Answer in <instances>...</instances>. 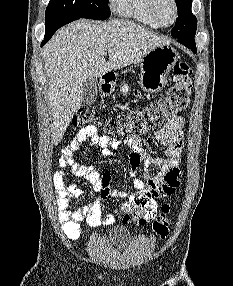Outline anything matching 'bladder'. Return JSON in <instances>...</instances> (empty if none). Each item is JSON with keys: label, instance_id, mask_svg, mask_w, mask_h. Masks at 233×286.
Returning <instances> with one entry per match:
<instances>
[{"label": "bladder", "instance_id": "1", "mask_svg": "<svg viewBox=\"0 0 233 286\" xmlns=\"http://www.w3.org/2000/svg\"><path fill=\"white\" fill-rule=\"evenodd\" d=\"M131 239L132 236L129 230L121 226L113 228L107 236L108 244L119 250L126 248L130 244Z\"/></svg>", "mask_w": 233, "mask_h": 286}]
</instances>
